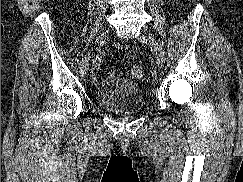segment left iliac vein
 <instances>
[{"mask_svg": "<svg viewBox=\"0 0 243 182\" xmlns=\"http://www.w3.org/2000/svg\"><path fill=\"white\" fill-rule=\"evenodd\" d=\"M137 39L140 42L150 44L154 48L155 53H156L157 66L159 68H161L164 65V61H165L164 52H163L161 46L155 40V38L153 36H151L150 34H140L137 37Z\"/></svg>", "mask_w": 243, "mask_h": 182, "instance_id": "left-iliac-vein-1", "label": "left iliac vein"}]
</instances>
